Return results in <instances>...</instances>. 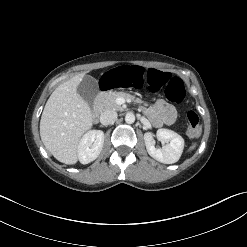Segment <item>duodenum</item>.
<instances>
[{"label":"duodenum","instance_id":"duodenum-1","mask_svg":"<svg viewBox=\"0 0 247 247\" xmlns=\"http://www.w3.org/2000/svg\"><path fill=\"white\" fill-rule=\"evenodd\" d=\"M98 111H99L98 107H97V106H95V107H94V109H93L94 114H97V113H98Z\"/></svg>","mask_w":247,"mask_h":247}]
</instances>
